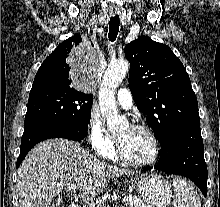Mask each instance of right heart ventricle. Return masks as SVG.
Instances as JSON below:
<instances>
[{"label": "right heart ventricle", "mask_w": 220, "mask_h": 207, "mask_svg": "<svg viewBox=\"0 0 220 207\" xmlns=\"http://www.w3.org/2000/svg\"><path fill=\"white\" fill-rule=\"evenodd\" d=\"M104 158H107L109 160H113L116 161L118 160L116 154H115V148L114 146L110 149H108L107 151H105L104 153L101 154Z\"/></svg>", "instance_id": "obj_1"}]
</instances>
